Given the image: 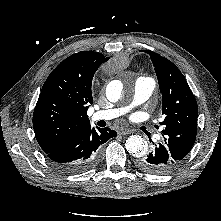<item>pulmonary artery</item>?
<instances>
[{
  "instance_id": "e3ab8cb5",
  "label": "pulmonary artery",
  "mask_w": 221,
  "mask_h": 221,
  "mask_svg": "<svg viewBox=\"0 0 221 221\" xmlns=\"http://www.w3.org/2000/svg\"><path fill=\"white\" fill-rule=\"evenodd\" d=\"M154 88H155V82L152 78L139 77L135 82L133 98L128 106L97 111L93 113L91 119L93 121H98V120H110L119 117L127 113L133 107L140 105L146 100H148Z\"/></svg>"
}]
</instances>
